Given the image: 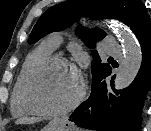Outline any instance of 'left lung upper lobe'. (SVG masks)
<instances>
[{
	"mask_svg": "<svg viewBox=\"0 0 151 131\" xmlns=\"http://www.w3.org/2000/svg\"><path fill=\"white\" fill-rule=\"evenodd\" d=\"M142 5L141 0H67L49 8L38 19L29 36L28 43L33 44L51 32L69 27L77 19V16H86L91 19L114 18L131 27ZM77 33L90 48L95 47L96 40L106 36L103 30L97 28L93 30L81 28ZM92 55L94 57L91 64L93 82L110 65L101 62L96 50L92 51Z\"/></svg>",
	"mask_w": 151,
	"mask_h": 131,
	"instance_id": "5c2ea615",
	"label": "left lung upper lobe"
}]
</instances>
